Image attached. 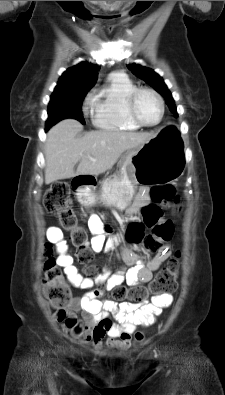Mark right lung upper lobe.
Returning a JSON list of instances; mask_svg holds the SVG:
<instances>
[{
    "label": "right lung upper lobe",
    "mask_w": 225,
    "mask_h": 395,
    "mask_svg": "<svg viewBox=\"0 0 225 395\" xmlns=\"http://www.w3.org/2000/svg\"><path fill=\"white\" fill-rule=\"evenodd\" d=\"M98 65L82 62L69 68L60 77L55 89H90L97 80Z\"/></svg>",
    "instance_id": "1"
}]
</instances>
